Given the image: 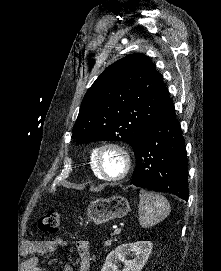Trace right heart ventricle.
<instances>
[{"mask_svg": "<svg viewBox=\"0 0 221 271\" xmlns=\"http://www.w3.org/2000/svg\"><path fill=\"white\" fill-rule=\"evenodd\" d=\"M87 163H89V176H93V179H98V183H106V178H100V174L97 171V167H100L98 158H87Z\"/></svg>", "mask_w": 221, "mask_h": 271, "instance_id": "1", "label": "right heart ventricle"}]
</instances>
